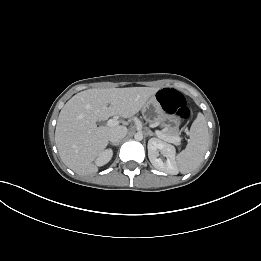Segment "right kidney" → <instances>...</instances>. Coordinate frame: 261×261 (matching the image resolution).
<instances>
[{
    "label": "right kidney",
    "instance_id": "1",
    "mask_svg": "<svg viewBox=\"0 0 261 261\" xmlns=\"http://www.w3.org/2000/svg\"><path fill=\"white\" fill-rule=\"evenodd\" d=\"M112 156L113 151L111 149H107L98 156V158L96 159V164L98 166H103L111 160Z\"/></svg>",
    "mask_w": 261,
    "mask_h": 261
}]
</instances>
